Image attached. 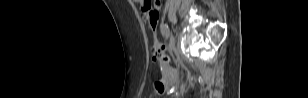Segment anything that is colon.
<instances>
[{
	"instance_id": "obj_1",
	"label": "colon",
	"mask_w": 308,
	"mask_h": 98,
	"mask_svg": "<svg viewBox=\"0 0 308 98\" xmlns=\"http://www.w3.org/2000/svg\"><path fill=\"white\" fill-rule=\"evenodd\" d=\"M146 5L144 7V11L142 12L144 15L141 16V21L144 22V25L147 27L148 31H157V20L159 18V8H160V1H150L145 0ZM164 47L155 41L154 44V55L155 59L160 60L162 59L164 62L169 61V57L166 56L164 53ZM157 87L159 89L162 88V83L158 82Z\"/></svg>"
}]
</instances>
